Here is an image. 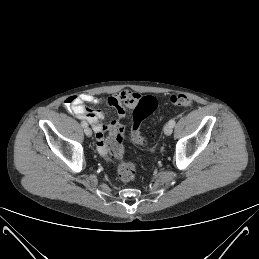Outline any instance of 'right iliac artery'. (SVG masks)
<instances>
[{"instance_id": "82829eb1", "label": "right iliac artery", "mask_w": 259, "mask_h": 259, "mask_svg": "<svg viewBox=\"0 0 259 259\" xmlns=\"http://www.w3.org/2000/svg\"><path fill=\"white\" fill-rule=\"evenodd\" d=\"M81 125H82L83 127H87V126H88V124H87L86 121H82V122H81Z\"/></svg>"}]
</instances>
